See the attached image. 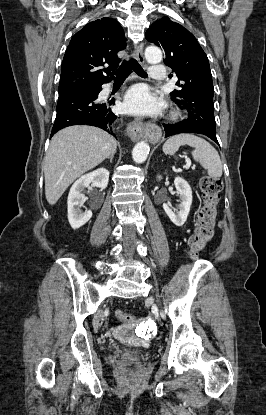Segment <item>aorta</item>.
Listing matches in <instances>:
<instances>
[{"label":"aorta","mask_w":266,"mask_h":415,"mask_svg":"<svg viewBox=\"0 0 266 415\" xmlns=\"http://www.w3.org/2000/svg\"><path fill=\"white\" fill-rule=\"evenodd\" d=\"M145 58L148 63H159L162 60V52L157 47H147L145 50ZM148 154L149 145L144 141L137 143L132 151V157L136 163H143L147 159Z\"/></svg>","instance_id":"762f6f07"}]
</instances>
